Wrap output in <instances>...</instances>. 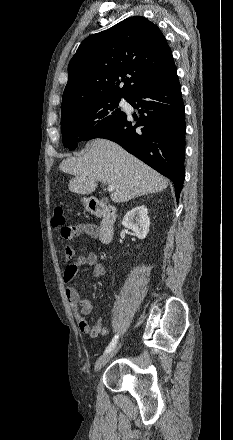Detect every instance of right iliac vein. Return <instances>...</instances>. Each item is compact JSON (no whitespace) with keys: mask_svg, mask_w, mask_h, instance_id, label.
Here are the masks:
<instances>
[{"mask_svg":"<svg viewBox=\"0 0 233 440\" xmlns=\"http://www.w3.org/2000/svg\"><path fill=\"white\" fill-rule=\"evenodd\" d=\"M120 347H121V343L118 344L110 352L102 355L95 363V367H94L95 372L99 371L102 367H104L110 361V359L118 352Z\"/></svg>","mask_w":233,"mask_h":440,"instance_id":"1","label":"right iliac vein"}]
</instances>
